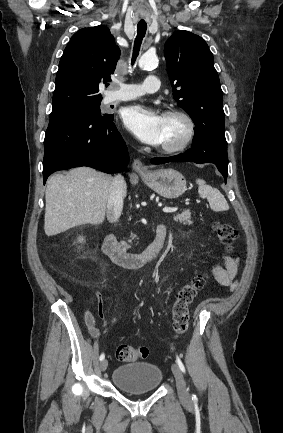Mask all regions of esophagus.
I'll use <instances>...</instances> for the list:
<instances>
[{
    "instance_id": "obj_1",
    "label": "esophagus",
    "mask_w": 283,
    "mask_h": 433,
    "mask_svg": "<svg viewBox=\"0 0 283 433\" xmlns=\"http://www.w3.org/2000/svg\"><path fill=\"white\" fill-rule=\"evenodd\" d=\"M133 170L139 173H144L147 171L146 167L140 160H135L132 165Z\"/></svg>"
}]
</instances>
